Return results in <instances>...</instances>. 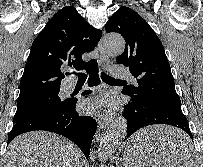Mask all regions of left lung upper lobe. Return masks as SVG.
<instances>
[{"label":"left lung upper lobe","mask_w":203,"mask_h":167,"mask_svg":"<svg viewBox=\"0 0 203 167\" xmlns=\"http://www.w3.org/2000/svg\"><path fill=\"white\" fill-rule=\"evenodd\" d=\"M106 32L120 33L125 41L118 64L129 68L136 85H126L122 93L132 100L158 104L180 101L164 47L149 24L134 10L122 6L105 25Z\"/></svg>","instance_id":"left-lung-upper-lobe-1"}]
</instances>
